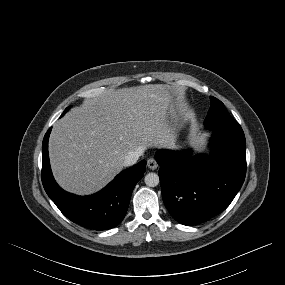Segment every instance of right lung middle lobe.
Listing matches in <instances>:
<instances>
[{
	"label": "right lung middle lobe",
	"mask_w": 285,
	"mask_h": 285,
	"mask_svg": "<svg viewBox=\"0 0 285 285\" xmlns=\"http://www.w3.org/2000/svg\"><path fill=\"white\" fill-rule=\"evenodd\" d=\"M67 111H68V108L65 109L64 113L67 112ZM64 113H63V114H64Z\"/></svg>",
	"instance_id": "right-lung-middle-lobe-1"
}]
</instances>
